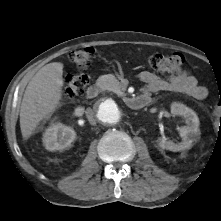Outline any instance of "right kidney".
<instances>
[{
  "label": "right kidney",
  "instance_id": "right-kidney-1",
  "mask_svg": "<svg viewBox=\"0 0 221 221\" xmlns=\"http://www.w3.org/2000/svg\"><path fill=\"white\" fill-rule=\"evenodd\" d=\"M75 131L61 123H52L43 135V144L49 151L62 150L75 139Z\"/></svg>",
  "mask_w": 221,
  "mask_h": 221
}]
</instances>
